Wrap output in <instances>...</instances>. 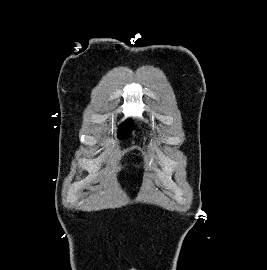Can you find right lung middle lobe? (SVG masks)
<instances>
[{"label":"right lung middle lobe","instance_id":"1","mask_svg":"<svg viewBox=\"0 0 267 270\" xmlns=\"http://www.w3.org/2000/svg\"><path fill=\"white\" fill-rule=\"evenodd\" d=\"M133 129V122L132 120H127L126 122L122 123L120 126L118 138L119 139H126Z\"/></svg>","mask_w":267,"mask_h":270}]
</instances>
